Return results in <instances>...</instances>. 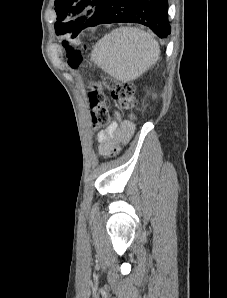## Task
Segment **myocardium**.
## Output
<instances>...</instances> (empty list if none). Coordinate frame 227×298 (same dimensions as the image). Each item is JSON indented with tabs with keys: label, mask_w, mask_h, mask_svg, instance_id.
Segmentation results:
<instances>
[{
	"label": "myocardium",
	"mask_w": 227,
	"mask_h": 298,
	"mask_svg": "<svg viewBox=\"0 0 227 298\" xmlns=\"http://www.w3.org/2000/svg\"><path fill=\"white\" fill-rule=\"evenodd\" d=\"M81 10H85V8L83 7Z\"/></svg>",
	"instance_id": "1"
}]
</instances>
